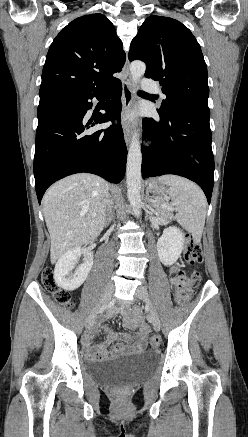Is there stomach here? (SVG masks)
<instances>
[{"instance_id": "obj_1", "label": "stomach", "mask_w": 248, "mask_h": 437, "mask_svg": "<svg viewBox=\"0 0 248 437\" xmlns=\"http://www.w3.org/2000/svg\"><path fill=\"white\" fill-rule=\"evenodd\" d=\"M147 192L153 194L157 202H163L167 199L168 189L158 179H152L147 184Z\"/></svg>"}]
</instances>
